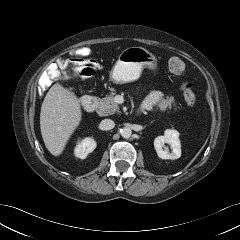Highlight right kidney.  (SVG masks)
I'll use <instances>...</instances> for the list:
<instances>
[{"label":"right kidney","mask_w":240,"mask_h":240,"mask_svg":"<svg viewBox=\"0 0 240 240\" xmlns=\"http://www.w3.org/2000/svg\"><path fill=\"white\" fill-rule=\"evenodd\" d=\"M96 148V142L93 138H85L80 141L74 150V154L77 158L85 159L89 153Z\"/></svg>","instance_id":"1"}]
</instances>
